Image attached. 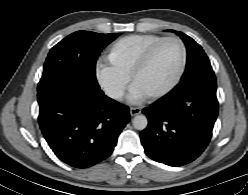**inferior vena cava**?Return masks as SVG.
<instances>
[{
  "label": "inferior vena cava",
  "instance_id": "1",
  "mask_svg": "<svg viewBox=\"0 0 248 195\" xmlns=\"http://www.w3.org/2000/svg\"><path fill=\"white\" fill-rule=\"evenodd\" d=\"M106 95L114 100H121L123 97V91L118 89H108Z\"/></svg>",
  "mask_w": 248,
  "mask_h": 195
}]
</instances>
